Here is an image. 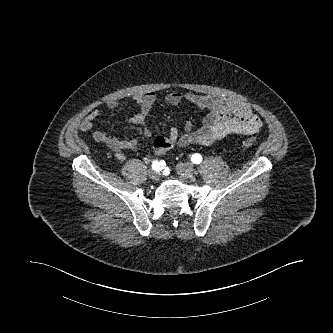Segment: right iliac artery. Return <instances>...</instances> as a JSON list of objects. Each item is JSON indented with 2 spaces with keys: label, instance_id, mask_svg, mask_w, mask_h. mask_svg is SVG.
<instances>
[{
  "label": "right iliac artery",
  "instance_id": "obj_1",
  "mask_svg": "<svg viewBox=\"0 0 333 333\" xmlns=\"http://www.w3.org/2000/svg\"><path fill=\"white\" fill-rule=\"evenodd\" d=\"M162 164H163V161L159 162L158 160H154V161L152 162V168H153L154 170L159 171V170H161L160 168L162 167Z\"/></svg>",
  "mask_w": 333,
  "mask_h": 333
}]
</instances>
